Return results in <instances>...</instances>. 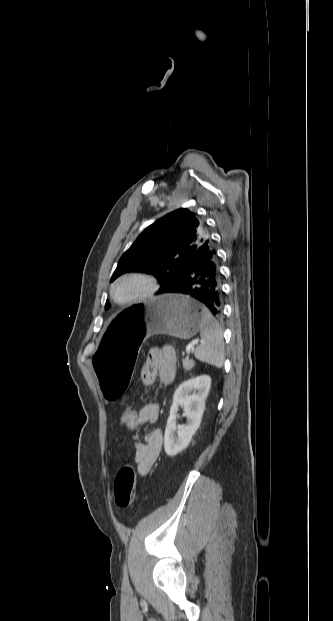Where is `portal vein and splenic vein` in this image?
Returning a JSON list of instances; mask_svg holds the SVG:
<instances>
[{"instance_id": "1", "label": "portal vein and splenic vein", "mask_w": 333, "mask_h": 621, "mask_svg": "<svg viewBox=\"0 0 333 621\" xmlns=\"http://www.w3.org/2000/svg\"><path fill=\"white\" fill-rule=\"evenodd\" d=\"M199 343V339L194 340L191 344H189L186 348V353L189 354L193 347Z\"/></svg>"}]
</instances>
